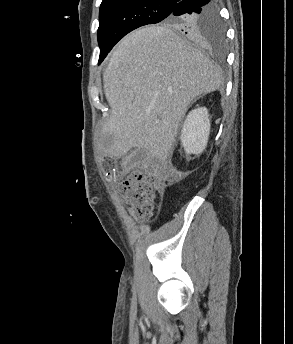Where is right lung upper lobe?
Listing matches in <instances>:
<instances>
[{
  "label": "right lung upper lobe",
  "instance_id": "right-lung-upper-lobe-1",
  "mask_svg": "<svg viewBox=\"0 0 293 344\" xmlns=\"http://www.w3.org/2000/svg\"><path fill=\"white\" fill-rule=\"evenodd\" d=\"M110 1H122V0H103L102 2H110ZM164 1H169V2H173V3H176V2H178V1H180V0H164Z\"/></svg>",
  "mask_w": 293,
  "mask_h": 344
}]
</instances>
